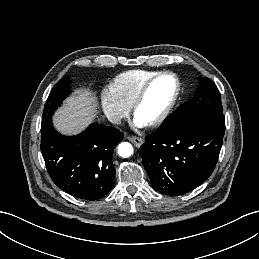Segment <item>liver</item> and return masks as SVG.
<instances>
[{
  "label": "liver",
  "instance_id": "liver-1",
  "mask_svg": "<svg viewBox=\"0 0 259 259\" xmlns=\"http://www.w3.org/2000/svg\"><path fill=\"white\" fill-rule=\"evenodd\" d=\"M97 113L95 96L87 89L75 91L54 116V125L64 134H77L90 124Z\"/></svg>",
  "mask_w": 259,
  "mask_h": 259
}]
</instances>
